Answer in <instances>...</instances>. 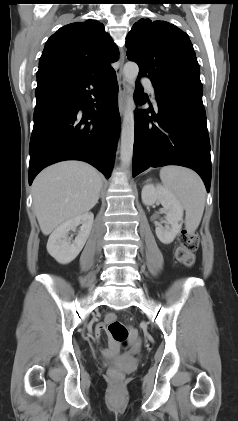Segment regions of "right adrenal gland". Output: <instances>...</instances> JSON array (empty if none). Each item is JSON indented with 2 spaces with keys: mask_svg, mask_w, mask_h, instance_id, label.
I'll return each mask as SVG.
<instances>
[{
  "mask_svg": "<svg viewBox=\"0 0 238 421\" xmlns=\"http://www.w3.org/2000/svg\"><path fill=\"white\" fill-rule=\"evenodd\" d=\"M102 194H103V188L101 189V192H100V197L102 196Z\"/></svg>",
  "mask_w": 238,
  "mask_h": 421,
  "instance_id": "2a0ac1e0",
  "label": "right adrenal gland"
}]
</instances>
